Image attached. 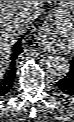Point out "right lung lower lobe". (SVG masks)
<instances>
[{
	"mask_svg": "<svg viewBox=\"0 0 74 122\" xmlns=\"http://www.w3.org/2000/svg\"><path fill=\"white\" fill-rule=\"evenodd\" d=\"M21 40L22 38L12 48L11 62L7 73L4 76H0V97L7 94L14 84L16 59L23 51Z\"/></svg>",
	"mask_w": 74,
	"mask_h": 122,
	"instance_id": "right-lung-lower-lobe-1",
	"label": "right lung lower lobe"
}]
</instances>
